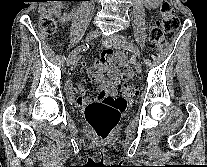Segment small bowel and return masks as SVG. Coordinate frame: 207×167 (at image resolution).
<instances>
[{
    "label": "small bowel",
    "instance_id": "obj_1",
    "mask_svg": "<svg viewBox=\"0 0 207 167\" xmlns=\"http://www.w3.org/2000/svg\"><path fill=\"white\" fill-rule=\"evenodd\" d=\"M147 2H155L156 0H146ZM120 54H117L118 57ZM101 61L103 65L97 70H90L88 72L89 80L92 84L96 85L100 89L98 99L105 97L106 95H113L116 92L117 84L119 81V70L113 63V53L111 50H106L101 55ZM123 66V78L129 79L132 76V70L128 66L127 62H120ZM104 69L108 72V79L104 78ZM67 98L70 102L84 107L94 102V99L85 96V90L83 86H74L73 83L68 80L65 84Z\"/></svg>",
    "mask_w": 207,
    "mask_h": 167
}]
</instances>
